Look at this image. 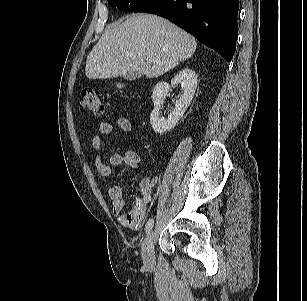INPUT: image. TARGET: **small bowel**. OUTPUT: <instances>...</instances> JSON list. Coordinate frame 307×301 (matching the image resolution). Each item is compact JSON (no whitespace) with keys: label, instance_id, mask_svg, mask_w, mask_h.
Segmentation results:
<instances>
[{"label":"small bowel","instance_id":"small-bowel-1","mask_svg":"<svg viewBox=\"0 0 307 301\" xmlns=\"http://www.w3.org/2000/svg\"><path fill=\"white\" fill-rule=\"evenodd\" d=\"M117 128L122 132L132 131V121L128 116H121L116 122ZM113 131V125L108 122H101L98 126V133L91 136V145L97 151L95 156V166L98 172L105 178L111 177L112 168L122 164L134 169L141 162L139 153L135 150H125L111 155L108 162H104L101 157L103 150L102 136H108ZM157 184V177L146 174L139 182L140 194L135 196L128 211L124 212L125 197L120 186L114 185L108 189V196L112 203L113 214L117 217L122 226L133 231L141 228L145 217L148 203L152 200V191Z\"/></svg>","mask_w":307,"mask_h":301}]
</instances>
